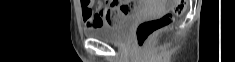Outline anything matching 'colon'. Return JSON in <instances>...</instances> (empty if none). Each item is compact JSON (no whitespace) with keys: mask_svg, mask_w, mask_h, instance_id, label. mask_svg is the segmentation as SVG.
<instances>
[{"mask_svg":"<svg viewBox=\"0 0 235 62\" xmlns=\"http://www.w3.org/2000/svg\"><path fill=\"white\" fill-rule=\"evenodd\" d=\"M186 5V0H173L171 12L139 23L136 29V41L138 45L144 47L156 32L170 25L176 16L182 15L186 9ZM120 15V10L114 11L110 17L109 24H115Z\"/></svg>","mask_w":235,"mask_h":62,"instance_id":"5ec220e1","label":"colon"}]
</instances>
